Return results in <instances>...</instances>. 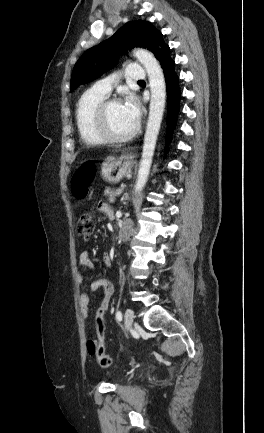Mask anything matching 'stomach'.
Masks as SVG:
<instances>
[{
	"label": "stomach",
	"mask_w": 264,
	"mask_h": 433,
	"mask_svg": "<svg viewBox=\"0 0 264 433\" xmlns=\"http://www.w3.org/2000/svg\"><path fill=\"white\" fill-rule=\"evenodd\" d=\"M133 166V156L124 153L118 159L107 157L101 165V177L108 183L116 184L130 173Z\"/></svg>",
	"instance_id": "stomach-1"
}]
</instances>
